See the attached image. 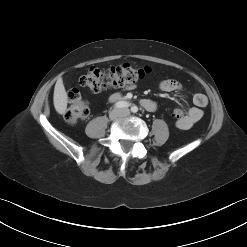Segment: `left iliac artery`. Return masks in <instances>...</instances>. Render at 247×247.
Returning <instances> with one entry per match:
<instances>
[{"instance_id": "1", "label": "left iliac artery", "mask_w": 247, "mask_h": 247, "mask_svg": "<svg viewBox=\"0 0 247 247\" xmlns=\"http://www.w3.org/2000/svg\"><path fill=\"white\" fill-rule=\"evenodd\" d=\"M131 111H132L133 113L138 112V107H137V106H132V107H131Z\"/></svg>"}]
</instances>
